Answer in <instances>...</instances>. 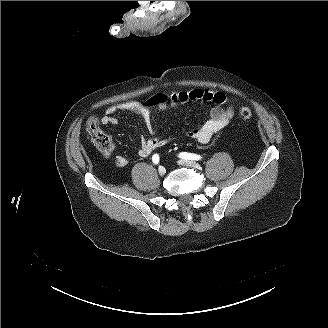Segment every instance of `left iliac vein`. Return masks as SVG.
I'll return each mask as SVG.
<instances>
[{
    "mask_svg": "<svg viewBox=\"0 0 328 328\" xmlns=\"http://www.w3.org/2000/svg\"><path fill=\"white\" fill-rule=\"evenodd\" d=\"M179 164L183 165V166H192V167H197V168L200 167V164H198L195 161H190V160H181V161H179Z\"/></svg>",
    "mask_w": 328,
    "mask_h": 328,
    "instance_id": "left-iliac-vein-1",
    "label": "left iliac vein"
}]
</instances>
